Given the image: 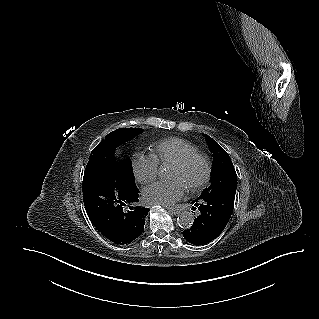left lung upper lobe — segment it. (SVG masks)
I'll return each mask as SVG.
<instances>
[{
  "instance_id": "5c2ea615",
  "label": "left lung upper lobe",
  "mask_w": 319,
  "mask_h": 319,
  "mask_svg": "<svg viewBox=\"0 0 319 319\" xmlns=\"http://www.w3.org/2000/svg\"><path fill=\"white\" fill-rule=\"evenodd\" d=\"M206 142L213 153L211 184L199 198L227 190H236L237 174L228 153L210 136L205 135Z\"/></svg>"
}]
</instances>
